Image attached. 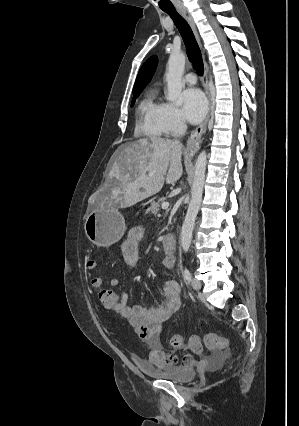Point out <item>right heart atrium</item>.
I'll use <instances>...</instances> for the list:
<instances>
[{"label": "right heart atrium", "mask_w": 299, "mask_h": 426, "mask_svg": "<svg viewBox=\"0 0 299 426\" xmlns=\"http://www.w3.org/2000/svg\"><path fill=\"white\" fill-rule=\"evenodd\" d=\"M163 121L168 134H176L185 128L180 110L171 103H164Z\"/></svg>", "instance_id": "1"}]
</instances>
